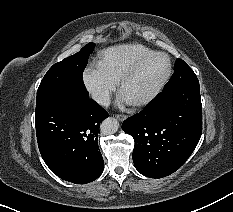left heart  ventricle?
Masks as SVG:
<instances>
[{"mask_svg": "<svg viewBox=\"0 0 233 212\" xmlns=\"http://www.w3.org/2000/svg\"><path fill=\"white\" fill-rule=\"evenodd\" d=\"M168 67L167 59L157 55L150 58L126 84L123 94L134 102L149 94L166 74Z\"/></svg>", "mask_w": 233, "mask_h": 212, "instance_id": "b2bd125f", "label": "left heart ventricle"}]
</instances>
